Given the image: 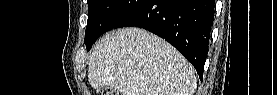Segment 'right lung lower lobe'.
I'll use <instances>...</instances> for the list:
<instances>
[{
  "instance_id": "right-lung-lower-lobe-1",
  "label": "right lung lower lobe",
  "mask_w": 277,
  "mask_h": 95,
  "mask_svg": "<svg viewBox=\"0 0 277 95\" xmlns=\"http://www.w3.org/2000/svg\"><path fill=\"white\" fill-rule=\"evenodd\" d=\"M214 16V0H143L114 28L134 26L172 44L202 80Z\"/></svg>"
}]
</instances>
